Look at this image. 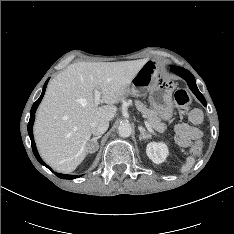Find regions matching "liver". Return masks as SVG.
I'll use <instances>...</instances> for the list:
<instances>
[{
	"mask_svg": "<svg viewBox=\"0 0 234 234\" xmlns=\"http://www.w3.org/2000/svg\"><path fill=\"white\" fill-rule=\"evenodd\" d=\"M147 61L78 62L53 78L34 124L43 160L58 172L74 171L90 150L91 124L115 117L114 104L131 94V82ZM95 90L106 105L95 104Z\"/></svg>",
	"mask_w": 234,
	"mask_h": 234,
	"instance_id": "obj_1",
	"label": "liver"
}]
</instances>
